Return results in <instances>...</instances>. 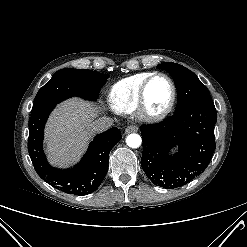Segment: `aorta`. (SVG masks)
Returning a JSON list of instances; mask_svg holds the SVG:
<instances>
[{
	"instance_id": "obj_1",
	"label": "aorta",
	"mask_w": 247,
	"mask_h": 247,
	"mask_svg": "<svg viewBox=\"0 0 247 247\" xmlns=\"http://www.w3.org/2000/svg\"><path fill=\"white\" fill-rule=\"evenodd\" d=\"M126 143L130 148H138L142 143L141 136L136 133L129 134L126 138Z\"/></svg>"
}]
</instances>
